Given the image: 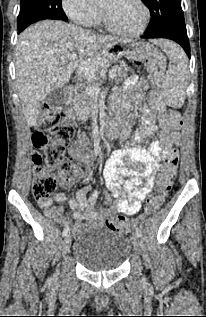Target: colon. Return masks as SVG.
<instances>
[{
    "mask_svg": "<svg viewBox=\"0 0 206 317\" xmlns=\"http://www.w3.org/2000/svg\"><path fill=\"white\" fill-rule=\"evenodd\" d=\"M165 57L162 53H154L147 61L152 84L158 87L164 76ZM161 124L164 128L175 131L182 125V119L178 112L167 110L163 114ZM74 137V128L68 122L63 109L45 104L41 108L39 121L32 141L38 150L33 155L35 165V177L32 185V193L36 200L49 199L57 188V179L50 172L55 171L60 180H76L87 173L89 153L86 145L80 142L75 155L68 158L66 148ZM179 157L175 152L170 155L160 169L156 179L157 191L147 201L146 214L155 213L163 204L166 194L170 191L176 176ZM107 226L117 232H128L135 222L116 216L106 222Z\"/></svg>",
    "mask_w": 206,
    "mask_h": 317,
    "instance_id": "5ec220e1",
    "label": "colon"
}]
</instances>
